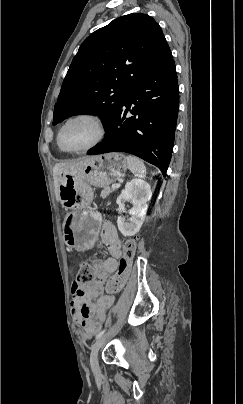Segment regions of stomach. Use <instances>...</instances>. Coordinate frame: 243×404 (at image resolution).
Instances as JSON below:
<instances>
[{
  "label": "stomach",
  "instance_id": "1",
  "mask_svg": "<svg viewBox=\"0 0 243 404\" xmlns=\"http://www.w3.org/2000/svg\"><path fill=\"white\" fill-rule=\"evenodd\" d=\"M127 169V159L119 153L86 157L60 169V202L71 210L63 224L68 246L86 250L93 245L102 219L90 206L92 186L106 187L122 178Z\"/></svg>",
  "mask_w": 243,
  "mask_h": 404
}]
</instances>
